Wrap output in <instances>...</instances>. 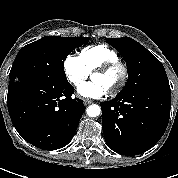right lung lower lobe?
Listing matches in <instances>:
<instances>
[{"instance_id": "1", "label": "right lung lower lobe", "mask_w": 178, "mask_h": 178, "mask_svg": "<svg viewBox=\"0 0 178 178\" xmlns=\"http://www.w3.org/2000/svg\"><path fill=\"white\" fill-rule=\"evenodd\" d=\"M73 93L66 79L9 82L7 105L15 129L37 148L66 146L85 110L81 99L71 97Z\"/></svg>"}]
</instances>
